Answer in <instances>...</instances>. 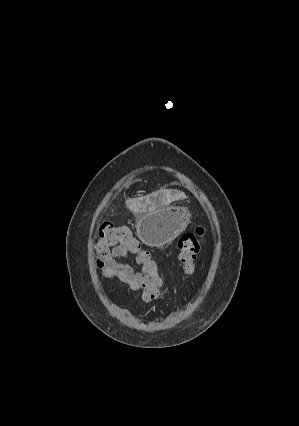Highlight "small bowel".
Listing matches in <instances>:
<instances>
[{
    "label": "small bowel",
    "mask_w": 299,
    "mask_h": 426,
    "mask_svg": "<svg viewBox=\"0 0 299 426\" xmlns=\"http://www.w3.org/2000/svg\"><path fill=\"white\" fill-rule=\"evenodd\" d=\"M130 255L124 248H113L99 267L103 277L108 279L116 278L132 291H140L144 268L136 257H134L136 267L128 264L127 259Z\"/></svg>",
    "instance_id": "c3829d8e"
}]
</instances>
